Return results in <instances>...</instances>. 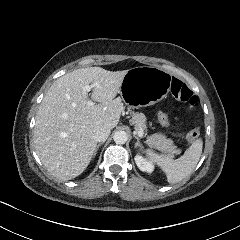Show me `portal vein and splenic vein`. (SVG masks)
Returning a JSON list of instances; mask_svg holds the SVG:
<instances>
[{
	"label": "portal vein and splenic vein",
	"instance_id": "obj_1",
	"mask_svg": "<svg viewBox=\"0 0 240 240\" xmlns=\"http://www.w3.org/2000/svg\"><path fill=\"white\" fill-rule=\"evenodd\" d=\"M95 86H97V83H96V84H91V85H86V86L83 87V90L89 92V91H91V89H92L93 87H95ZM92 104H93V103H92ZM136 133H137V135H138L139 137H141V138H142L143 135H144L143 129L138 130Z\"/></svg>",
	"mask_w": 240,
	"mask_h": 240
}]
</instances>
